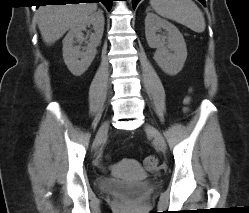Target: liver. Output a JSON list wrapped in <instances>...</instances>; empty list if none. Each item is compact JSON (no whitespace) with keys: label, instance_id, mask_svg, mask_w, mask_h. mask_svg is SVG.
<instances>
[{"label":"liver","instance_id":"obj_1","mask_svg":"<svg viewBox=\"0 0 249 213\" xmlns=\"http://www.w3.org/2000/svg\"><path fill=\"white\" fill-rule=\"evenodd\" d=\"M96 10L95 2L40 6L35 16L43 41L48 45L55 43Z\"/></svg>","mask_w":249,"mask_h":213}]
</instances>
